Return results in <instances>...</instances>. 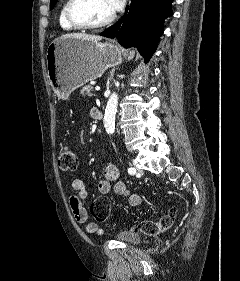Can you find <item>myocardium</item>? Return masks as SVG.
Listing matches in <instances>:
<instances>
[{"instance_id":"1","label":"myocardium","mask_w":240,"mask_h":281,"mask_svg":"<svg viewBox=\"0 0 240 281\" xmlns=\"http://www.w3.org/2000/svg\"><path fill=\"white\" fill-rule=\"evenodd\" d=\"M80 2V0H68L65 7V16L69 24L77 29H98L109 25L114 21L116 14L113 12L108 18L102 20L100 22H86L79 19L74 12L76 5Z\"/></svg>"}]
</instances>
